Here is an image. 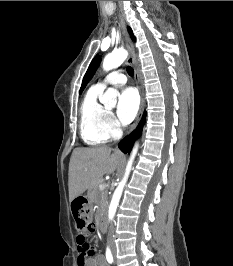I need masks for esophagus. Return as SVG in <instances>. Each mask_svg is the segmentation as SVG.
Here are the masks:
<instances>
[{
    "mask_svg": "<svg viewBox=\"0 0 233 266\" xmlns=\"http://www.w3.org/2000/svg\"><path fill=\"white\" fill-rule=\"evenodd\" d=\"M119 23H120V27H121V30H122V33L124 36L126 48L129 51V56L127 58V62H128V64H130L134 68L135 79H136L137 86H138L139 93H140V97H141L139 111H138L137 117L135 119V122L132 124V126L130 128V131H129V133H130L136 128V126L138 125V123L142 117L143 109H144V105H145V99H144L143 89H142L141 84H140L139 71H138V68L136 66V55H135L134 46L132 44L131 39L128 36L126 26H125V21H124L121 14H119Z\"/></svg>",
    "mask_w": 233,
    "mask_h": 266,
    "instance_id": "obj_1",
    "label": "esophagus"
}]
</instances>
